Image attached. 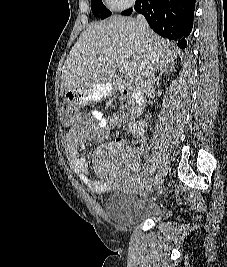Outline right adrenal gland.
I'll return each instance as SVG.
<instances>
[{
    "instance_id": "right-adrenal-gland-1",
    "label": "right adrenal gland",
    "mask_w": 227,
    "mask_h": 267,
    "mask_svg": "<svg viewBox=\"0 0 227 267\" xmlns=\"http://www.w3.org/2000/svg\"><path fill=\"white\" fill-rule=\"evenodd\" d=\"M173 70H174L173 66H170V67H168L166 69H160L159 75H158L157 80H156L157 85L159 84V81H160V79H161L163 74H167V73H169V72H171Z\"/></svg>"
}]
</instances>
